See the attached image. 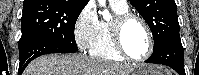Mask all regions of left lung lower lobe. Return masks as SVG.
Wrapping results in <instances>:
<instances>
[{"label": "left lung lower lobe", "mask_w": 199, "mask_h": 75, "mask_svg": "<svg viewBox=\"0 0 199 75\" xmlns=\"http://www.w3.org/2000/svg\"><path fill=\"white\" fill-rule=\"evenodd\" d=\"M145 62L167 65L178 72L179 75H185L184 51L180 36L169 40L161 48L154 51Z\"/></svg>", "instance_id": "obj_1"}]
</instances>
